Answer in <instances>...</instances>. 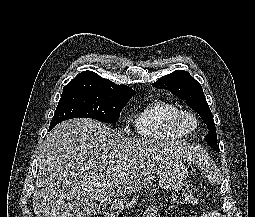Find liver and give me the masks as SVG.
Returning a JSON list of instances; mask_svg holds the SVG:
<instances>
[{
  "mask_svg": "<svg viewBox=\"0 0 255 217\" xmlns=\"http://www.w3.org/2000/svg\"><path fill=\"white\" fill-rule=\"evenodd\" d=\"M202 155L193 145L128 138L88 118L64 121L51 130L42 146L33 194L35 215L71 217L81 199L131 195L167 164Z\"/></svg>",
  "mask_w": 255,
  "mask_h": 217,
  "instance_id": "1",
  "label": "liver"
}]
</instances>
